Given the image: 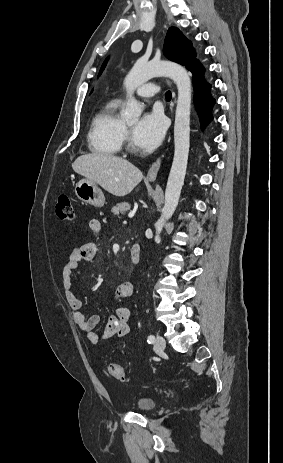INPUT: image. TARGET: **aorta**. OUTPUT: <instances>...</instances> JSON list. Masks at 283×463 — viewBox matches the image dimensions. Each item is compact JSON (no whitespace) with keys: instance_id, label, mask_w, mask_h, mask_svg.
I'll list each match as a JSON object with an SVG mask.
<instances>
[{"instance_id":"1","label":"aorta","mask_w":283,"mask_h":463,"mask_svg":"<svg viewBox=\"0 0 283 463\" xmlns=\"http://www.w3.org/2000/svg\"><path fill=\"white\" fill-rule=\"evenodd\" d=\"M166 76L174 80L178 89V99L174 124V158L165 190V204L160 219L155 223V241L160 239L164 224L176 210L188 163L190 148V112H191V80L186 69L169 61L143 62L138 60L124 80L127 91L126 108L121 112L125 121H136L143 107L133 97L137 87L153 77Z\"/></svg>"}]
</instances>
